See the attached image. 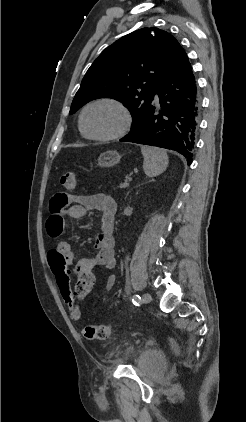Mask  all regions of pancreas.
Returning a JSON list of instances; mask_svg holds the SVG:
<instances>
[{"label":"pancreas","mask_w":246,"mask_h":422,"mask_svg":"<svg viewBox=\"0 0 246 422\" xmlns=\"http://www.w3.org/2000/svg\"><path fill=\"white\" fill-rule=\"evenodd\" d=\"M127 182V180L125 181V183ZM125 183H123V184H120V188H125V187H127L129 184H125Z\"/></svg>","instance_id":"pancreas-1"}]
</instances>
